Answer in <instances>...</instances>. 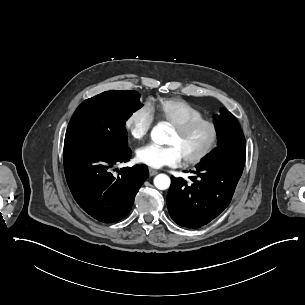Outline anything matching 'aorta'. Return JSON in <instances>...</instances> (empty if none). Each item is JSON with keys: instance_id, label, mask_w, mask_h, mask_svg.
<instances>
[{"instance_id": "obj_1", "label": "aorta", "mask_w": 305, "mask_h": 305, "mask_svg": "<svg viewBox=\"0 0 305 305\" xmlns=\"http://www.w3.org/2000/svg\"><path fill=\"white\" fill-rule=\"evenodd\" d=\"M168 126L165 123H159L153 127L151 131V138L157 144H164L167 139ZM154 185L159 190H166L170 187L171 181L166 174H158L155 176Z\"/></svg>"}]
</instances>
